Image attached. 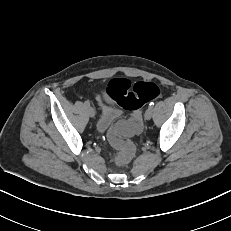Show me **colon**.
<instances>
[{
  "instance_id": "obj_1",
  "label": "colon",
  "mask_w": 231,
  "mask_h": 231,
  "mask_svg": "<svg viewBox=\"0 0 231 231\" xmlns=\"http://www.w3.org/2000/svg\"><path fill=\"white\" fill-rule=\"evenodd\" d=\"M106 92L108 97L117 105L133 112L129 119L128 133H134L140 128L142 106L159 97L161 88L154 82L139 81L133 84L126 78H113L109 81ZM109 141L118 151L116 155L117 163L125 164L133 158L135 147L119 128L116 127L111 130Z\"/></svg>"
}]
</instances>
